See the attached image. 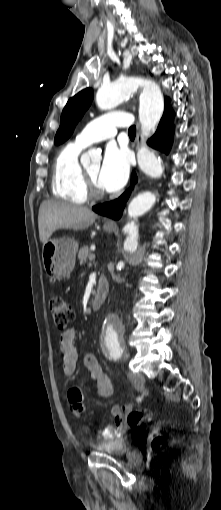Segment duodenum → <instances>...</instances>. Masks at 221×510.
<instances>
[{
	"instance_id": "duodenum-1",
	"label": "duodenum",
	"mask_w": 221,
	"mask_h": 510,
	"mask_svg": "<svg viewBox=\"0 0 221 510\" xmlns=\"http://www.w3.org/2000/svg\"><path fill=\"white\" fill-rule=\"evenodd\" d=\"M108 293V284L104 278H100L97 283L95 294L91 300V308L98 309L104 302Z\"/></svg>"
}]
</instances>
